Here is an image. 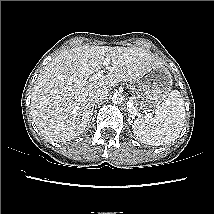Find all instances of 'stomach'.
Listing matches in <instances>:
<instances>
[{"instance_id":"stomach-1","label":"stomach","mask_w":214,"mask_h":214,"mask_svg":"<svg viewBox=\"0 0 214 214\" xmlns=\"http://www.w3.org/2000/svg\"><path fill=\"white\" fill-rule=\"evenodd\" d=\"M172 76L164 64L144 72L131 86L133 96L131 114H149L156 110L169 96Z\"/></svg>"}]
</instances>
